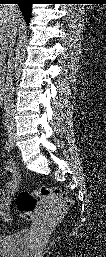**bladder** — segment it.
Here are the masks:
<instances>
[{
  "mask_svg": "<svg viewBox=\"0 0 106 257\" xmlns=\"http://www.w3.org/2000/svg\"><path fill=\"white\" fill-rule=\"evenodd\" d=\"M31 242L28 231H19L0 237V255L2 257H26Z\"/></svg>",
  "mask_w": 106,
  "mask_h": 257,
  "instance_id": "obj_1",
  "label": "bladder"
}]
</instances>
